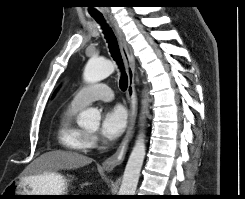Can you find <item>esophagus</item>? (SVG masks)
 <instances>
[{
  "mask_svg": "<svg viewBox=\"0 0 245 199\" xmlns=\"http://www.w3.org/2000/svg\"><path fill=\"white\" fill-rule=\"evenodd\" d=\"M109 20L111 21L119 41V46L121 54L125 63L126 73L128 76V87H127V100L129 103V120L125 136L116 150V152L107 158L102 163V168L105 171H112L116 166L120 165L125 157L129 141L133 135L134 126L136 122L138 103L135 91V60L129 45L126 42L125 36L121 28L119 27L116 20L109 15Z\"/></svg>",
  "mask_w": 245,
  "mask_h": 199,
  "instance_id": "1",
  "label": "esophagus"
}]
</instances>
